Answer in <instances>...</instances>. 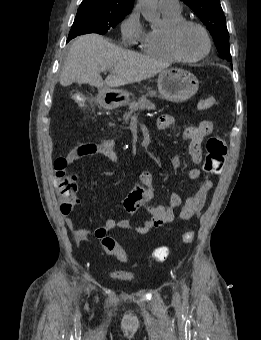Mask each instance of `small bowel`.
<instances>
[{
  "label": "small bowel",
  "instance_id": "small-bowel-1",
  "mask_svg": "<svg viewBox=\"0 0 261 340\" xmlns=\"http://www.w3.org/2000/svg\"><path fill=\"white\" fill-rule=\"evenodd\" d=\"M174 122L169 115H162L157 121V127L165 130ZM213 131V123L208 120H202L198 125L187 127L182 138L189 141V155L192 168L188 172V177L192 180L201 176L200 164L202 161L201 143L203 139ZM115 140L108 139L100 143H83L75 146L66 156L67 166L73 162L90 156H103L108 160L116 163L118 155L114 151ZM172 163L175 168L182 167V161L178 154L172 157ZM76 179V178H75ZM140 184L132 188V190L124 197L123 205L128 212H135L140 208H144L150 215L143 224L136 226L135 230L138 234H146L150 230L160 227L175 218V209H180L179 218L189 220L193 218L204 206L207 195L212 189V182L208 179L203 180L198 186L196 192L186 199L183 203L181 197L177 193H172L169 204L167 206L154 205V191L152 188L153 175L149 171L141 172L139 176ZM65 224L72 231L78 243L84 242L93 235L95 238L102 240L107 233L114 229H129L132 225L129 220L107 219L105 223L97 228L93 233L85 228H76L74 221L70 217L65 218Z\"/></svg>",
  "mask_w": 261,
  "mask_h": 340
}]
</instances>
